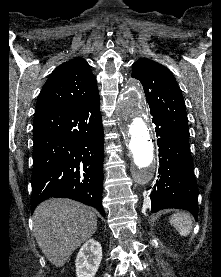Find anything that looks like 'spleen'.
Instances as JSON below:
<instances>
[{
	"instance_id": "spleen-1",
	"label": "spleen",
	"mask_w": 221,
	"mask_h": 277,
	"mask_svg": "<svg viewBox=\"0 0 221 277\" xmlns=\"http://www.w3.org/2000/svg\"><path fill=\"white\" fill-rule=\"evenodd\" d=\"M170 224L181 236H188L192 230V218L189 214L178 212L171 216Z\"/></svg>"
}]
</instances>
